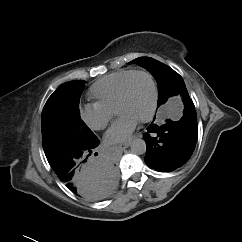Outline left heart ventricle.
<instances>
[{
    "instance_id": "obj_1",
    "label": "left heart ventricle",
    "mask_w": 242,
    "mask_h": 242,
    "mask_svg": "<svg viewBox=\"0 0 242 242\" xmlns=\"http://www.w3.org/2000/svg\"><path fill=\"white\" fill-rule=\"evenodd\" d=\"M152 99V89L145 75L134 76L128 87L125 101L118 109V115H130L138 121L149 111Z\"/></svg>"
}]
</instances>
